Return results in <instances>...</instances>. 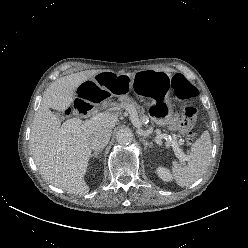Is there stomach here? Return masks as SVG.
Listing matches in <instances>:
<instances>
[{
	"instance_id": "stomach-1",
	"label": "stomach",
	"mask_w": 248,
	"mask_h": 248,
	"mask_svg": "<svg viewBox=\"0 0 248 248\" xmlns=\"http://www.w3.org/2000/svg\"><path fill=\"white\" fill-rule=\"evenodd\" d=\"M170 79L169 73L157 70H141L132 74L102 71L90 80V91L85 92L84 97L90 103L100 102L108 96L123 99L134 86H139V92L151 99L148 105L150 119L157 125L165 126L173 115L168 98Z\"/></svg>"
}]
</instances>
